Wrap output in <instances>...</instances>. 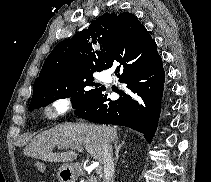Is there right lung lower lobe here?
I'll return each instance as SVG.
<instances>
[{
    "label": "right lung lower lobe",
    "instance_id": "obj_1",
    "mask_svg": "<svg viewBox=\"0 0 211 182\" xmlns=\"http://www.w3.org/2000/svg\"><path fill=\"white\" fill-rule=\"evenodd\" d=\"M116 67L115 75L126 84L121 96L112 101L104 86L75 115L93 123L121 125L144 134L150 143L158 125L163 83L162 59L156 43L148 34L120 47L111 57L107 68Z\"/></svg>",
    "mask_w": 211,
    "mask_h": 182
}]
</instances>
